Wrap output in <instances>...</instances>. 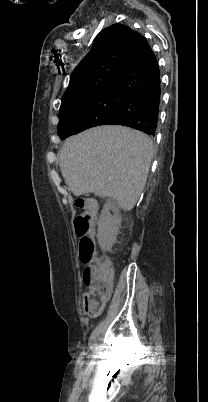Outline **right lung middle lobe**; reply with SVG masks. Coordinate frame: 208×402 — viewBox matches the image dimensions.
Returning a JSON list of instances; mask_svg holds the SVG:
<instances>
[{
	"instance_id": "dd1d6c3e",
	"label": "right lung middle lobe",
	"mask_w": 208,
	"mask_h": 402,
	"mask_svg": "<svg viewBox=\"0 0 208 402\" xmlns=\"http://www.w3.org/2000/svg\"><path fill=\"white\" fill-rule=\"evenodd\" d=\"M117 89L111 80L63 96L59 124L112 112L117 108L120 98Z\"/></svg>"
}]
</instances>
